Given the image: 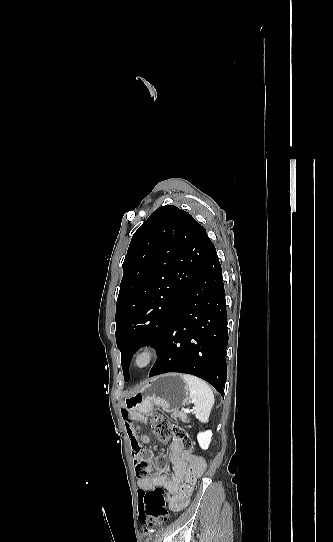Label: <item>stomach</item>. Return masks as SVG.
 Listing matches in <instances>:
<instances>
[{
    "label": "stomach",
    "mask_w": 333,
    "mask_h": 542,
    "mask_svg": "<svg viewBox=\"0 0 333 542\" xmlns=\"http://www.w3.org/2000/svg\"><path fill=\"white\" fill-rule=\"evenodd\" d=\"M188 400L187 384L180 374H164L151 378L140 392L125 398V406L129 412L136 410L143 416H151L154 406H159L164 412H178L188 404Z\"/></svg>",
    "instance_id": "1"
}]
</instances>
